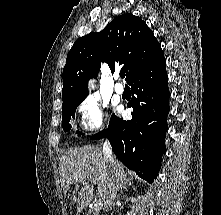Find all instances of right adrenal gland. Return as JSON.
Wrapping results in <instances>:
<instances>
[{"label":"right adrenal gland","mask_w":221,"mask_h":215,"mask_svg":"<svg viewBox=\"0 0 221 215\" xmlns=\"http://www.w3.org/2000/svg\"><path fill=\"white\" fill-rule=\"evenodd\" d=\"M132 184H133V182L129 179L118 182L116 185V194H117V192H119V190H122V189L126 190L127 187L132 186Z\"/></svg>","instance_id":"obj_1"}]
</instances>
